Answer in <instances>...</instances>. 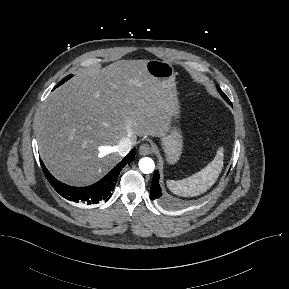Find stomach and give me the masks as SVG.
Listing matches in <instances>:
<instances>
[{
  "label": "stomach",
  "instance_id": "stomach-1",
  "mask_svg": "<svg viewBox=\"0 0 289 289\" xmlns=\"http://www.w3.org/2000/svg\"><path fill=\"white\" fill-rule=\"evenodd\" d=\"M146 68L148 73L156 79L167 91L171 98L173 113L178 114L179 104L175 88V72L171 63L162 60H147ZM162 146L166 160L170 164L176 163L182 153L183 141L178 130H166L162 136Z\"/></svg>",
  "mask_w": 289,
  "mask_h": 289
}]
</instances>
